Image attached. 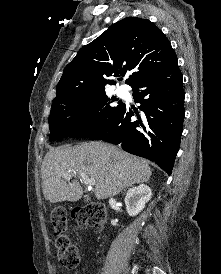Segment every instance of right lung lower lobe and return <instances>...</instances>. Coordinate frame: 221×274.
<instances>
[{
    "mask_svg": "<svg viewBox=\"0 0 221 274\" xmlns=\"http://www.w3.org/2000/svg\"><path fill=\"white\" fill-rule=\"evenodd\" d=\"M132 88L133 98L145 115L132 121L134 113L124 104L115 119L90 138L119 145L131 154L150 159L170 175L184 120L185 96L177 59Z\"/></svg>",
    "mask_w": 221,
    "mask_h": 274,
    "instance_id": "98d812e1",
    "label": "right lung lower lobe"
}]
</instances>
